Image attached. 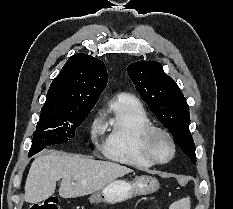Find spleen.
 Returning <instances> with one entry per match:
<instances>
[{
  "instance_id": "1",
  "label": "spleen",
  "mask_w": 233,
  "mask_h": 209,
  "mask_svg": "<svg viewBox=\"0 0 233 209\" xmlns=\"http://www.w3.org/2000/svg\"><path fill=\"white\" fill-rule=\"evenodd\" d=\"M190 198H183L174 202L169 209H190Z\"/></svg>"
}]
</instances>
